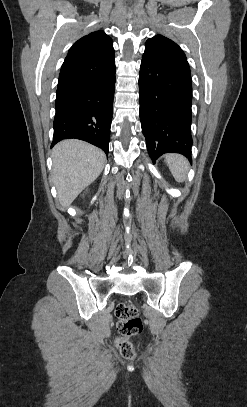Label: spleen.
<instances>
[{"label": "spleen", "instance_id": "1", "mask_svg": "<svg viewBox=\"0 0 247 407\" xmlns=\"http://www.w3.org/2000/svg\"><path fill=\"white\" fill-rule=\"evenodd\" d=\"M165 162L177 182H184L186 180L189 162L184 156L179 154H167L165 156Z\"/></svg>", "mask_w": 247, "mask_h": 407}]
</instances>
